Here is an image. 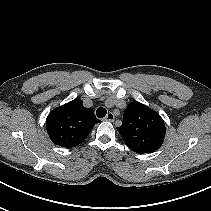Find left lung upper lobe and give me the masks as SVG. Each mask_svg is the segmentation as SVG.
I'll return each instance as SVG.
<instances>
[{"label": "left lung upper lobe", "mask_w": 211, "mask_h": 211, "mask_svg": "<svg viewBox=\"0 0 211 211\" xmlns=\"http://www.w3.org/2000/svg\"><path fill=\"white\" fill-rule=\"evenodd\" d=\"M126 145L138 154L152 153L163 143L166 127L161 116L140 102H131L117 128Z\"/></svg>", "instance_id": "left-lung-upper-lobe-1"}]
</instances>
